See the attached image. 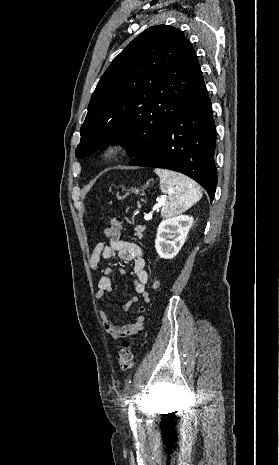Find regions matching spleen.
Segmentation results:
<instances>
[{"label": "spleen", "mask_w": 279, "mask_h": 465, "mask_svg": "<svg viewBox=\"0 0 279 465\" xmlns=\"http://www.w3.org/2000/svg\"><path fill=\"white\" fill-rule=\"evenodd\" d=\"M160 177L161 191L167 194L161 215L169 218L180 214L202 198L200 187L192 179L164 169H155Z\"/></svg>", "instance_id": "3e777b00"}]
</instances>
